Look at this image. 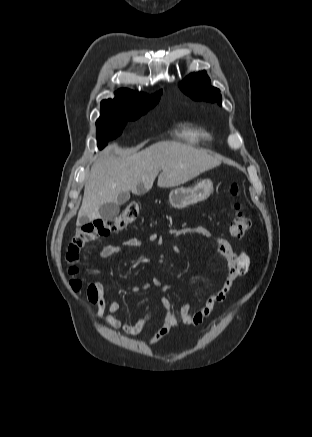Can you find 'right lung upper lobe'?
I'll use <instances>...</instances> for the list:
<instances>
[{
  "label": "right lung upper lobe",
  "mask_w": 312,
  "mask_h": 437,
  "mask_svg": "<svg viewBox=\"0 0 312 437\" xmlns=\"http://www.w3.org/2000/svg\"><path fill=\"white\" fill-rule=\"evenodd\" d=\"M161 91L149 97L128 89L116 92L115 99L101 102V116L136 117L154 107L160 99Z\"/></svg>",
  "instance_id": "1"
}]
</instances>
